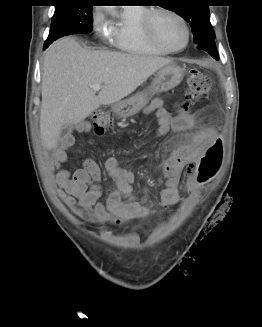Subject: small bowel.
<instances>
[{
  "mask_svg": "<svg viewBox=\"0 0 262 327\" xmlns=\"http://www.w3.org/2000/svg\"><path fill=\"white\" fill-rule=\"evenodd\" d=\"M147 111L153 112L158 121L155 131L157 137L196 130L165 160L163 165L165 187L157 197V202L161 205L176 204L180 200L179 184L183 170L187 171L184 184L189 185L185 191L186 195L197 199L194 165H207L198 163V154L204 153V148H208L209 143H216V132L209 126H199L193 115L181 106H178V115L171 117L159 98L152 101ZM77 130L88 133L89 125L80 123ZM73 143L72 135L64 136L61 146L55 151L51 160L52 169L57 170L56 193L72 213L82 219L99 223L127 222L143 218L151 213L143 201L133 195L134 174L123 168L116 158H108L105 162L106 170L116 185L105 202L100 200L101 170L94 160L85 159L82 168L73 173L61 168V164L66 160V149Z\"/></svg>",
  "mask_w": 262,
  "mask_h": 327,
  "instance_id": "obj_1",
  "label": "small bowel"
}]
</instances>
